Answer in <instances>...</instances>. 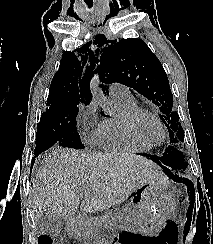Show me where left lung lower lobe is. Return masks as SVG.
I'll return each instance as SVG.
<instances>
[{
    "label": "left lung lower lobe",
    "instance_id": "left-lung-lower-lobe-1",
    "mask_svg": "<svg viewBox=\"0 0 213 244\" xmlns=\"http://www.w3.org/2000/svg\"><path fill=\"white\" fill-rule=\"evenodd\" d=\"M144 156L149 157L152 161L156 162L158 165H160L165 173L172 178L173 180L177 181V182H184L188 188H190V194L193 196L194 198V186L192 184V182L190 180H188L187 178L179 175L175 170H174V161H173V157L170 153L169 150H166L162 156H155V155H147V154H143ZM189 231V230H188Z\"/></svg>",
    "mask_w": 213,
    "mask_h": 244
}]
</instances>
